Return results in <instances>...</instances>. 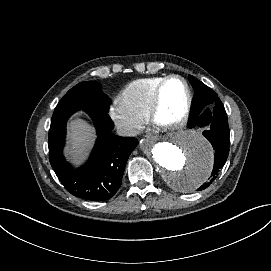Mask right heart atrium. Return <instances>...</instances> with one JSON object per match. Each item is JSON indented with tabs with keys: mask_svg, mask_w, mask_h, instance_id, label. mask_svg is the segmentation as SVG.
Wrapping results in <instances>:
<instances>
[{
	"mask_svg": "<svg viewBox=\"0 0 271 271\" xmlns=\"http://www.w3.org/2000/svg\"><path fill=\"white\" fill-rule=\"evenodd\" d=\"M109 114L116 124H125L129 135L134 136L144 127V121L134 116L123 104L120 98L113 100Z\"/></svg>",
	"mask_w": 271,
	"mask_h": 271,
	"instance_id": "1",
	"label": "right heart atrium"
}]
</instances>
